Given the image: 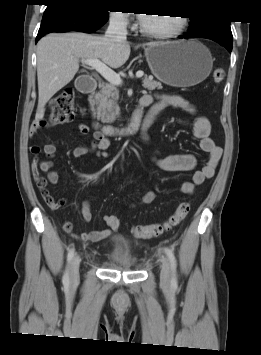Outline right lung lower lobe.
I'll list each match as a JSON object with an SVG mask.
<instances>
[{"label":"right lung lower lobe","instance_id":"right-lung-lower-lobe-1","mask_svg":"<svg viewBox=\"0 0 261 355\" xmlns=\"http://www.w3.org/2000/svg\"><path fill=\"white\" fill-rule=\"evenodd\" d=\"M107 20L108 16H95L76 3L48 4L36 42L45 34L51 32L80 31L91 33L104 25Z\"/></svg>","mask_w":261,"mask_h":355}]
</instances>
